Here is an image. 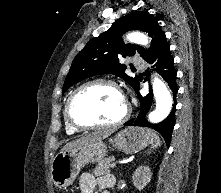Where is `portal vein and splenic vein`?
<instances>
[{
  "label": "portal vein and splenic vein",
  "mask_w": 221,
  "mask_h": 193,
  "mask_svg": "<svg viewBox=\"0 0 221 193\" xmlns=\"http://www.w3.org/2000/svg\"><path fill=\"white\" fill-rule=\"evenodd\" d=\"M115 166H116L115 163H112V164H111V168H114Z\"/></svg>",
  "instance_id": "obj_1"
}]
</instances>
